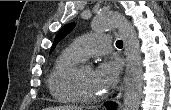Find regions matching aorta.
Returning a JSON list of instances; mask_svg holds the SVG:
<instances>
[{"label":"aorta","mask_w":171,"mask_h":110,"mask_svg":"<svg viewBox=\"0 0 171 110\" xmlns=\"http://www.w3.org/2000/svg\"><path fill=\"white\" fill-rule=\"evenodd\" d=\"M97 32L118 29L128 44V65L124 83L123 110H139L143 87V68L140 42L136 30L123 15L106 13L92 22Z\"/></svg>","instance_id":"762f6f07"}]
</instances>
